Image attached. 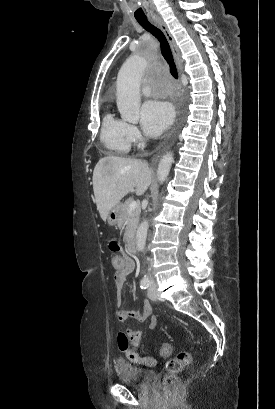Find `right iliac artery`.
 <instances>
[{"mask_svg":"<svg viewBox=\"0 0 275 409\" xmlns=\"http://www.w3.org/2000/svg\"><path fill=\"white\" fill-rule=\"evenodd\" d=\"M149 283H150V281H149L148 277H144V278L140 281V287H141V289H147L148 286H149Z\"/></svg>","mask_w":275,"mask_h":409,"instance_id":"right-iliac-artery-1","label":"right iliac artery"}]
</instances>
